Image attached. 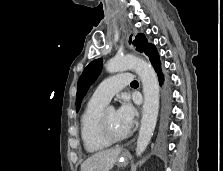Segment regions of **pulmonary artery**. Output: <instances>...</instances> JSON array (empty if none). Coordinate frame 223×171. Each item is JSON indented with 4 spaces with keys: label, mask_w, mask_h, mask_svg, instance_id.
<instances>
[{
    "label": "pulmonary artery",
    "mask_w": 223,
    "mask_h": 171,
    "mask_svg": "<svg viewBox=\"0 0 223 171\" xmlns=\"http://www.w3.org/2000/svg\"><path fill=\"white\" fill-rule=\"evenodd\" d=\"M132 81L130 73H121L104 80L94 91L92 98L108 103L111 98L120 92Z\"/></svg>",
    "instance_id": "e3ab8cb5"
}]
</instances>
